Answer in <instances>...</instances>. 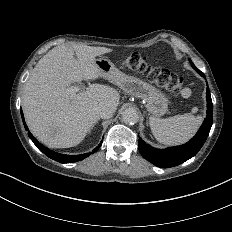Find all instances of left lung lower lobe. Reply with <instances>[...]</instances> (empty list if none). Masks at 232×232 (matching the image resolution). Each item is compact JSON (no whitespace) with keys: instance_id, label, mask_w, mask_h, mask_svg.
I'll return each mask as SVG.
<instances>
[{"instance_id":"left-lung-lower-lobe-1","label":"left lung lower lobe","mask_w":232,"mask_h":232,"mask_svg":"<svg viewBox=\"0 0 232 232\" xmlns=\"http://www.w3.org/2000/svg\"><path fill=\"white\" fill-rule=\"evenodd\" d=\"M198 73L205 78L204 73L201 71ZM206 100L207 116L197 134L190 141L180 146L157 149L146 144L141 138H139L138 148L142 156L155 166L161 168L177 166L195 156L205 143L213 124V104L208 87L206 89Z\"/></svg>"}]
</instances>
